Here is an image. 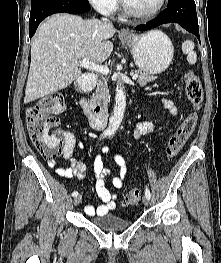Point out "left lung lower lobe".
<instances>
[{"instance_id": "1", "label": "left lung lower lobe", "mask_w": 221, "mask_h": 263, "mask_svg": "<svg viewBox=\"0 0 221 263\" xmlns=\"http://www.w3.org/2000/svg\"><path fill=\"white\" fill-rule=\"evenodd\" d=\"M170 22L178 23L187 31L193 33L200 41L194 0H169L167 8L157 18L144 25L137 26L136 30L145 31Z\"/></svg>"}]
</instances>
